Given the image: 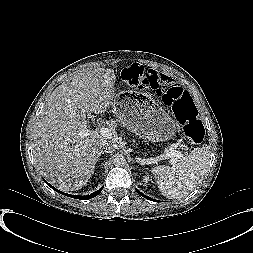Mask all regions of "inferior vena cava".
Wrapping results in <instances>:
<instances>
[{
    "instance_id": "602c4592",
    "label": "inferior vena cava",
    "mask_w": 253,
    "mask_h": 253,
    "mask_svg": "<svg viewBox=\"0 0 253 253\" xmlns=\"http://www.w3.org/2000/svg\"><path fill=\"white\" fill-rule=\"evenodd\" d=\"M104 149H106V150H105V152H109V153H111V152H112V147H111V146H109V144H108V145H106V146L104 147Z\"/></svg>"
}]
</instances>
